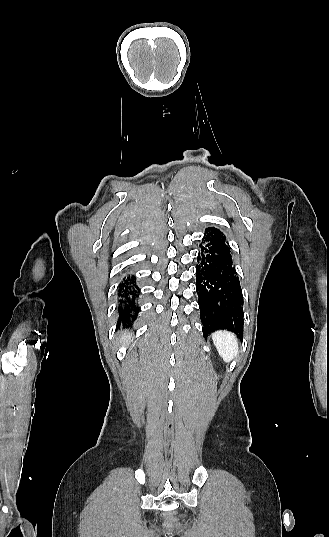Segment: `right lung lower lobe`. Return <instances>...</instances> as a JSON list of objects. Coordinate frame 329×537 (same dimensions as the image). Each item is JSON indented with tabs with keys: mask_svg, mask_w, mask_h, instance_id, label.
<instances>
[{
	"mask_svg": "<svg viewBox=\"0 0 329 537\" xmlns=\"http://www.w3.org/2000/svg\"><path fill=\"white\" fill-rule=\"evenodd\" d=\"M139 294L140 289L136 284L135 276L126 273L118 289V297L121 302V306L118 309L119 322H124L132 316Z\"/></svg>",
	"mask_w": 329,
	"mask_h": 537,
	"instance_id": "obj_1",
	"label": "right lung lower lobe"
}]
</instances>
